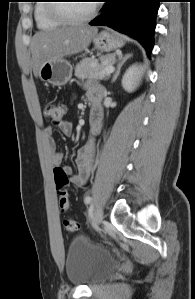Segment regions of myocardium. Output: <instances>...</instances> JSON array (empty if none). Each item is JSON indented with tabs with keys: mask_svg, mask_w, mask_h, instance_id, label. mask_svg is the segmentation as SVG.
<instances>
[{
	"mask_svg": "<svg viewBox=\"0 0 195 299\" xmlns=\"http://www.w3.org/2000/svg\"><path fill=\"white\" fill-rule=\"evenodd\" d=\"M55 2H62V1H55ZM65 3H51L49 5V13L50 15L64 23V24H82L91 21L98 13V5L97 3H93L90 12L83 17H73L68 15L63 11V7Z\"/></svg>",
	"mask_w": 195,
	"mask_h": 299,
	"instance_id": "obj_1",
	"label": "myocardium"
}]
</instances>
